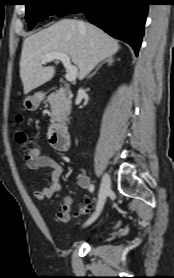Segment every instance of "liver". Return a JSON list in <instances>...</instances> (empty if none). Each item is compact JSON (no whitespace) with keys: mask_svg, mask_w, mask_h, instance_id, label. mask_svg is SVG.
Here are the masks:
<instances>
[{"mask_svg":"<svg viewBox=\"0 0 174 278\" xmlns=\"http://www.w3.org/2000/svg\"><path fill=\"white\" fill-rule=\"evenodd\" d=\"M120 49L118 41L98 27L73 19H62L50 27L27 37L20 58V78L24 94L36 89L55 74L53 66H43L42 59L52 52L68 55L78 67L80 80L102 60Z\"/></svg>","mask_w":174,"mask_h":278,"instance_id":"obj_1","label":"liver"}]
</instances>
